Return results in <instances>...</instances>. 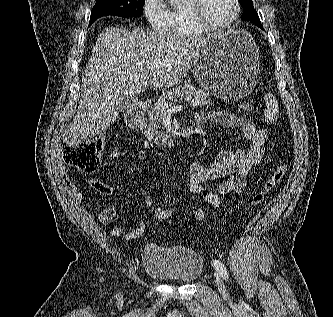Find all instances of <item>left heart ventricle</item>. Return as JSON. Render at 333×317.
Masks as SVG:
<instances>
[{"instance_id":"left-heart-ventricle-1","label":"left heart ventricle","mask_w":333,"mask_h":317,"mask_svg":"<svg viewBox=\"0 0 333 317\" xmlns=\"http://www.w3.org/2000/svg\"><path fill=\"white\" fill-rule=\"evenodd\" d=\"M234 12L233 0H205V17L212 23H223L229 20Z\"/></svg>"}]
</instances>
